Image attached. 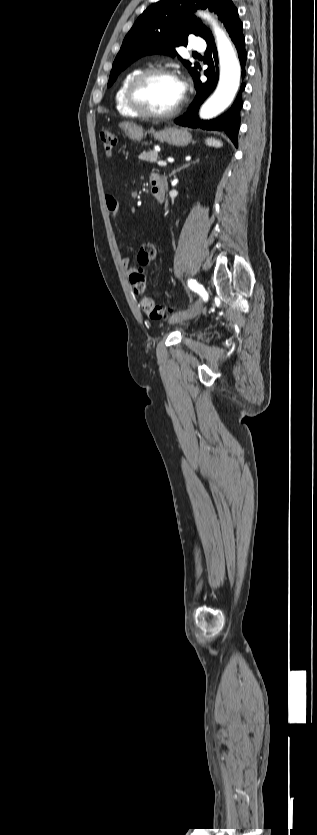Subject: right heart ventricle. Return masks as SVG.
<instances>
[{
    "mask_svg": "<svg viewBox=\"0 0 317 835\" xmlns=\"http://www.w3.org/2000/svg\"><path fill=\"white\" fill-rule=\"evenodd\" d=\"M141 71H143V70L140 69V68H136V69H133V70L129 71L122 78L120 84L118 85V88H117L116 94H115V105H116V109L118 110V112L121 113L122 115L129 116V117H139L140 116L138 113H136L129 106L127 98H126V92H127V88L129 86L130 82L132 81V79L137 74H139Z\"/></svg>",
    "mask_w": 317,
    "mask_h": 835,
    "instance_id": "obj_1",
    "label": "right heart ventricle"
}]
</instances>
